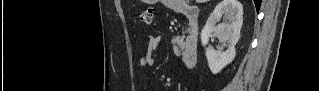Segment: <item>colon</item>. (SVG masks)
Masks as SVG:
<instances>
[{"label": "colon", "mask_w": 319, "mask_h": 91, "mask_svg": "<svg viewBox=\"0 0 319 91\" xmlns=\"http://www.w3.org/2000/svg\"><path fill=\"white\" fill-rule=\"evenodd\" d=\"M153 16H154V8L152 6L147 7L141 13V21L146 25H151L153 23Z\"/></svg>", "instance_id": "obj_1"}]
</instances>
